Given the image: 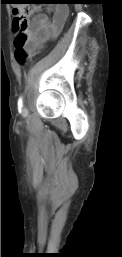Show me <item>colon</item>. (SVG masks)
Masks as SVG:
<instances>
[{
  "label": "colon",
  "instance_id": "colon-1",
  "mask_svg": "<svg viewBox=\"0 0 122 257\" xmlns=\"http://www.w3.org/2000/svg\"><path fill=\"white\" fill-rule=\"evenodd\" d=\"M25 10L27 5L13 6V29L16 32L14 39L15 58L20 64H24L28 59V53L24 49L26 31L28 29V19ZM35 50L34 52H38Z\"/></svg>",
  "mask_w": 122,
  "mask_h": 257
}]
</instances>
